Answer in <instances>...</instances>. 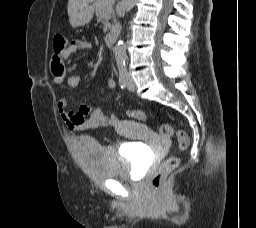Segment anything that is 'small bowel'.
Segmentation results:
<instances>
[{
  "instance_id": "obj_1",
  "label": "small bowel",
  "mask_w": 256,
  "mask_h": 228,
  "mask_svg": "<svg viewBox=\"0 0 256 228\" xmlns=\"http://www.w3.org/2000/svg\"><path fill=\"white\" fill-rule=\"evenodd\" d=\"M91 48L90 42L76 39L71 41L62 52L54 53L51 58L53 82L55 84L66 82L70 89L78 88L80 78L66 74L64 61L78 51L90 50ZM106 86L109 91H113L116 84L113 80H109ZM57 107L62 119L72 131H83L106 126L117 127L119 125L115 115H106L99 107L83 104L78 110H71L66 98H60L57 102Z\"/></svg>"
}]
</instances>
